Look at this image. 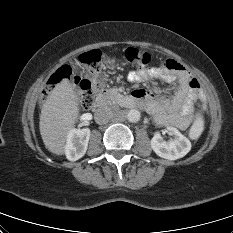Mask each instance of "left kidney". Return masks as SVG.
<instances>
[{"label":"left kidney","instance_id":"1","mask_svg":"<svg viewBox=\"0 0 233 233\" xmlns=\"http://www.w3.org/2000/svg\"><path fill=\"white\" fill-rule=\"evenodd\" d=\"M173 138L165 141L159 132L151 139V148L161 158L176 160L184 157L191 150V142L176 128L167 127Z\"/></svg>","mask_w":233,"mask_h":233}]
</instances>
